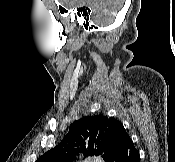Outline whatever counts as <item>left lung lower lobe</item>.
<instances>
[{"label":"left lung lower lobe","mask_w":175,"mask_h":162,"mask_svg":"<svg viewBox=\"0 0 175 162\" xmlns=\"http://www.w3.org/2000/svg\"><path fill=\"white\" fill-rule=\"evenodd\" d=\"M109 162H140V156L132 139L124 133Z\"/></svg>","instance_id":"0a47b994"}]
</instances>
